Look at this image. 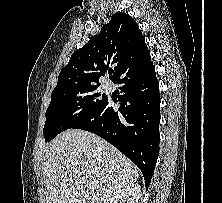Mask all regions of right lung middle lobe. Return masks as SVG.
Masks as SVG:
<instances>
[{
  "label": "right lung middle lobe",
  "mask_w": 222,
  "mask_h": 203,
  "mask_svg": "<svg viewBox=\"0 0 222 203\" xmlns=\"http://www.w3.org/2000/svg\"><path fill=\"white\" fill-rule=\"evenodd\" d=\"M107 100L98 85H86L52 92L46 110L45 142L86 118Z\"/></svg>",
  "instance_id": "1"
}]
</instances>
